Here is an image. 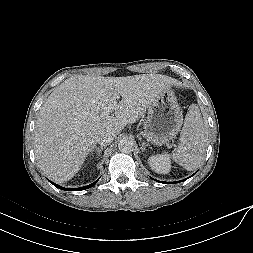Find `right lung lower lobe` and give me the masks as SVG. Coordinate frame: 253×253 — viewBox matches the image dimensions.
<instances>
[{"instance_id":"1","label":"right lung lower lobe","mask_w":253,"mask_h":253,"mask_svg":"<svg viewBox=\"0 0 253 253\" xmlns=\"http://www.w3.org/2000/svg\"><path fill=\"white\" fill-rule=\"evenodd\" d=\"M98 180H96L94 183L90 184V185H87V186H84V187H80V188H74V189H68V188H64V187H61L53 182H51L55 187L59 188V189H62V190H66V191H80V190H85V189H88L92 186H94L96 184Z\"/></svg>"}]
</instances>
